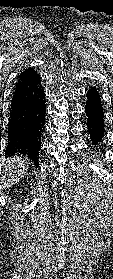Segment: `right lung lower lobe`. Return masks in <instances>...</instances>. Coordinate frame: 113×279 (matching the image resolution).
Instances as JSON below:
<instances>
[{
  "label": "right lung lower lobe",
  "instance_id": "98d812e1",
  "mask_svg": "<svg viewBox=\"0 0 113 279\" xmlns=\"http://www.w3.org/2000/svg\"><path fill=\"white\" fill-rule=\"evenodd\" d=\"M45 116V93L41 77L33 68H28L20 74L15 84L6 155L28 156L38 166Z\"/></svg>",
  "mask_w": 113,
  "mask_h": 279
}]
</instances>
